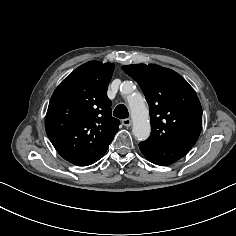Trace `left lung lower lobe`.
Wrapping results in <instances>:
<instances>
[{"label": "left lung lower lobe", "instance_id": "1", "mask_svg": "<svg viewBox=\"0 0 236 236\" xmlns=\"http://www.w3.org/2000/svg\"><path fill=\"white\" fill-rule=\"evenodd\" d=\"M139 148L149 161L157 165L166 166L182 158L192 147L149 145L141 142Z\"/></svg>", "mask_w": 236, "mask_h": 236}]
</instances>
